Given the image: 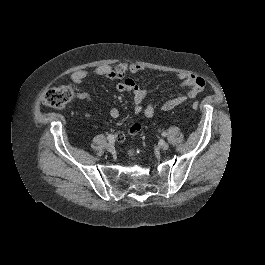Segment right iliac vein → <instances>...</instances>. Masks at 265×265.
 I'll use <instances>...</instances> for the list:
<instances>
[{
	"instance_id": "1",
	"label": "right iliac vein",
	"mask_w": 265,
	"mask_h": 265,
	"mask_svg": "<svg viewBox=\"0 0 265 265\" xmlns=\"http://www.w3.org/2000/svg\"><path fill=\"white\" fill-rule=\"evenodd\" d=\"M106 149L109 152H113L115 147H114V145L112 143H108L107 146H106Z\"/></svg>"
}]
</instances>
